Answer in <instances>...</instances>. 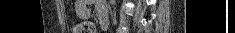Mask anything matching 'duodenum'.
<instances>
[{
  "mask_svg": "<svg viewBox=\"0 0 235 33\" xmlns=\"http://www.w3.org/2000/svg\"><path fill=\"white\" fill-rule=\"evenodd\" d=\"M100 24L102 26V28H107L108 26V16L106 14H101L100 17Z\"/></svg>",
  "mask_w": 235,
  "mask_h": 33,
  "instance_id": "1",
  "label": "duodenum"
}]
</instances>
